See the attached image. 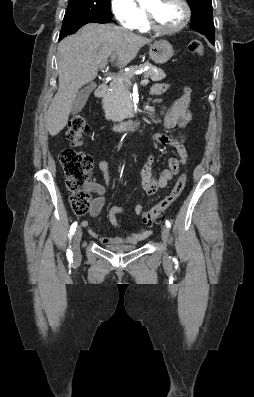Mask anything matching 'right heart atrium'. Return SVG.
Here are the masks:
<instances>
[{"instance_id": "1", "label": "right heart atrium", "mask_w": 254, "mask_h": 397, "mask_svg": "<svg viewBox=\"0 0 254 397\" xmlns=\"http://www.w3.org/2000/svg\"><path fill=\"white\" fill-rule=\"evenodd\" d=\"M111 10L116 20L128 29L137 28L144 18V11L135 0H111Z\"/></svg>"}]
</instances>
